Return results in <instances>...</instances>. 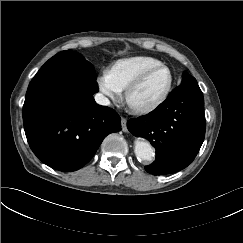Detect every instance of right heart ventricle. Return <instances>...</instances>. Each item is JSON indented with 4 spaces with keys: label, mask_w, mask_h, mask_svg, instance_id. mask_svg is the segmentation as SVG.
<instances>
[{
    "label": "right heart ventricle",
    "mask_w": 243,
    "mask_h": 243,
    "mask_svg": "<svg viewBox=\"0 0 243 243\" xmlns=\"http://www.w3.org/2000/svg\"><path fill=\"white\" fill-rule=\"evenodd\" d=\"M159 64V60L148 56L123 58L116 61L108 73L115 87L119 91H124L140 73Z\"/></svg>",
    "instance_id": "e07e8e85"
}]
</instances>
